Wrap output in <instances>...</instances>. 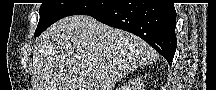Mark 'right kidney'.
<instances>
[{
    "label": "right kidney",
    "mask_w": 216,
    "mask_h": 90,
    "mask_svg": "<svg viewBox=\"0 0 216 90\" xmlns=\"http://www.w3.org/2000/svg\"><path fill=\"white\" fill-rule=\"evenodd\" d=\"M141 84H139V86H133L132 84V88H130V86H127V90H137V88H140Z\"/></svg>",
    "instance_id": "ca27d5eb"
}]
</instances>
